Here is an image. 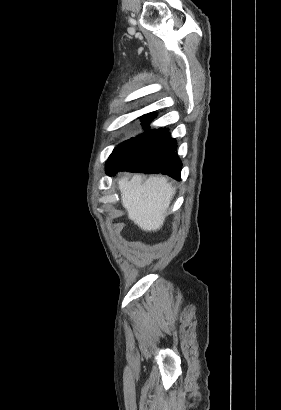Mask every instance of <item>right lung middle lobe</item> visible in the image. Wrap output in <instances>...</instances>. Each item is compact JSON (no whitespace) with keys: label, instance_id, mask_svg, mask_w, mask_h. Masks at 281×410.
Returning <instances> with one entry per match:
<instances>
[{"label":"right lung middle lobe","instance_id":"dd1d6c3e","mask_svg":"<svg viewBox=\"0 0 281 410\" xmlns=\"http://www.w3.org/2000/svg\"><path fill=\"white\" fill-rule=\"evenodd\" d=\"M153 118H155L154 113L145 114L140 117L141 124L144 126L145 131L136 137H132L129 140L120 143L114 148L106 163V172L112 171L124 159L129 151L152 131L149 127V122Z\"/></svg>","mask_w":281,"mask_h":410}]
</instances>
